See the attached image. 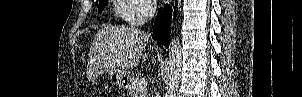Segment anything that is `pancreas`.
<instances>
[{"label": "pancreas", "instance_id": "pancreas-1", "mask_svg": "<svg viewBox=\"0 0 302 97\" xmlns=\"http://www.w3.org/2000/svg\"><path fill=\"white\" fill-rule=\"evenodd\" d=\"M139 81V78H133L128 86V94L130 97H146L145 90L139 91L137 90V82Z\"/></svg>", "mask_w": 302, "mask_h": 97}]
</instances>
